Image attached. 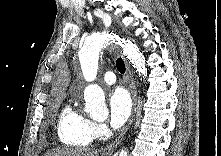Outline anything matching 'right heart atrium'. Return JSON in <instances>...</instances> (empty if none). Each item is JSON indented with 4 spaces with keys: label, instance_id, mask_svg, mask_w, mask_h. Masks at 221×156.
I'll use <instances>...</instances> for the list:
<instances>
[{
    "label": "right heart atrium",
    "instance_id": "1",
    "mask_svg": "<svg viewBox=\"0 0 221 156\" xmlns=\"http://www.w3.org/2000/svg\"><path fill=\"white\" fill-rule=\"evenodd\" d=\"M89 131L93 139L102 137L106 133V126L103 123L90 121Z\"/></svg>",
    "mask_w": 221,
    "mask_h": 156
}]
</instances>
